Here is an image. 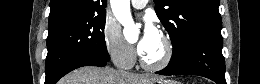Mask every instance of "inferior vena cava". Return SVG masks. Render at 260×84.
<instances>
[{
    "label": "inferior vena cava",
    "mask_w": 260,
    "mask_h": 84,
    "mask_svg": "<svg viewBox=\"0 0 260 84\" xmlns=\"http://www.w3.org/2000/svg\"><path fill=\"white\" fill-rule=\"evenodd\" d=\"M118 72H120V73H126L125 71H123V70H119Z\"/></svg>",
    "instance_id": "obj_1"
}]
</instances>
